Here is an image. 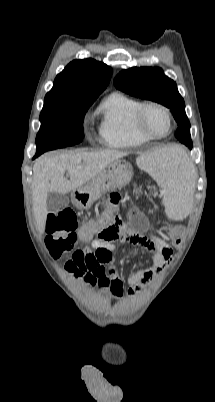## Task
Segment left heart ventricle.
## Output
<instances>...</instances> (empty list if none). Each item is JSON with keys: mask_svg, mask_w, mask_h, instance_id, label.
<instances>
[{"mask_svg": "<svg viewBox=\"0 0 215 402\" xmlns=\"http://www.w3.org/2000/svg\"><path fill=\"white\" fill-rule=\"evenodd\" d=\"M147 129L154 134H163L168 129V120L164 112L157 108H149L144 115Z\"/></svg>", "mask_w": 215, "mask_h": 402, "instance_id": "1", "label": "left heart ventricle"}]
</instances>
